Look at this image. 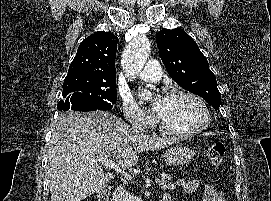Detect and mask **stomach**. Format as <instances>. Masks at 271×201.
Segmentation results:
<instances>
[{
	"instance_id": "0dacf381",
	"label": "stomach",
	"mask_w": 271,
	"mask_h": 201,
	"mask_svg": "<svg viewBox=\"0 0 271 201\" xmlns=\"http://www.w3.org/2000/svg\"><path fill=\"white\" fill-rule=\"evenodd\" d=\"M196 153L186 146H171L164 154V161L168 166H181L195 158Z\"/></svg>"
}]
</instances>
